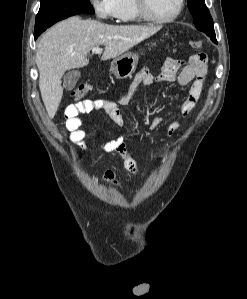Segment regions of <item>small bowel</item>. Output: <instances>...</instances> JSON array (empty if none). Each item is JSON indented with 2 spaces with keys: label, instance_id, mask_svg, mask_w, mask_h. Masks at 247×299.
<instances>
[{
  "label": "small bowel",
  "instance_id": "1",
  "mask_svg": "<svg viewBox=\"0 0 247 299\" xmlns=\"http://www.w3.org/2000/svg\"><path fill=\"white\" fill-rule=\"evenodd\" d=\"M207 70V57L204 53L193 55L187 62L183 60L168 59L164 63L160 73L154 75L148 69H142L136 76L133 84L130 86L128 93L123 95L119 103L126 104L129 102L133 92L138 87H145L157 82H172L177 80L180 86H186L191 83L187 97L182 101L179 111L183 115L188 114L198 101L204 84ZM93 110L104 111L110 120L118 127L122 128L124 119L116 102L104 99H85L83 101L70 104L65 109V127L64 130L69 133L70 140L78 145L81 149L85 147L86 131L82 128L81 115L92 112ZM163 120L159 117L150 119L149 128L157 129ZM178 128V123L173 120L168 126V134L174 135ZM104 152H115L123 161L124 168L132 174H139L141 166L130 154L124 138L121 134L114 138L104 141L100 144ZM105 181L115 187L119 186L115 174L108 171L105 175Z\"/></svg>",
  "mask_w": 247,
  "mask_h": 299
}]
</instances>
